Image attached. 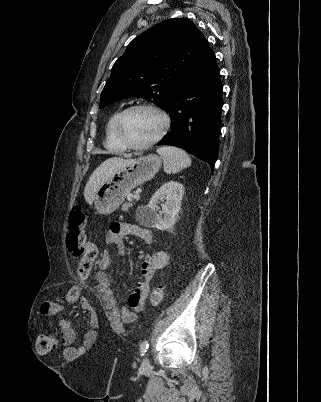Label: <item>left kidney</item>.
<instances>
[{"label": "left kidney", "instance_id": "left-kidney-1", "mask_svg": "<svg viewBox=\"0 0 321 402\" xmlns=\"http://www.w3.org/2000/svg\"><path fill=\"white\" fill-rule=\"evenodd\" d=\"M183 195L184 187L181 183L170 181L163 184L154 193L148 205L138 208L136 219L147 227L170 229L177 220ZM159 201L163 202L161 211H158Z\"/></svg>", "mask_w": 321, "mask_h": 402}]
</instances>
